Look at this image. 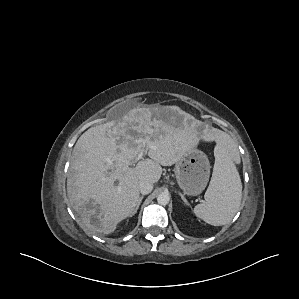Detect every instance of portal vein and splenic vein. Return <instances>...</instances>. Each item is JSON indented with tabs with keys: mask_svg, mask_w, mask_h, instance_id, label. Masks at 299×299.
I'll list each match as a JSON object with an SVG mask.
<instances>
[{
	"mask_svg": "<svg viewBox=\"0 0 299 299\" xmlns=\"http://www.w3.org/2000/svg\"><path fill=\"white\" fill-rule=\"evenodd\" d=\"M143 153H144V148H142V149L140 150L138 156H137L136 159H135V162L139 161V160L142 158Z\"/></svg>",
	"mask_w": 299,
	"mask_h": 299,
	"instance_id": "portal-vein-and-splenic-vein-1",
	"label": "portal vein and splenic vein"
}]
</instances>
